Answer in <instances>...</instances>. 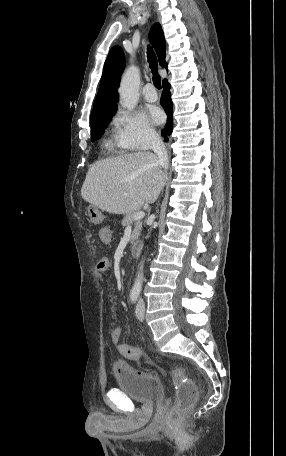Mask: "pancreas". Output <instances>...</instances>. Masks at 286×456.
I'll return each mask as SVG.
<instances>
[{
  "label": "pancreas",
  "instance_id": "cf45deb5",
  "mask_svg": "<svg viewBox=\"0 0 286 456\" xmlns=\"http://www.w3.org/2000/svg\"><path fill=\"white\" fill-rule=\"evenodd\" d=\"M134 215H135V212H131V213L127 214L122 220L123 226L134 224V229H133L131 237H130L131 242L138 239V237L140 236L141 229H142V222L140 220H134Z\"/></svg>",
  "mask_w": 286,
  "mask_h": 456
}]
</instances>
